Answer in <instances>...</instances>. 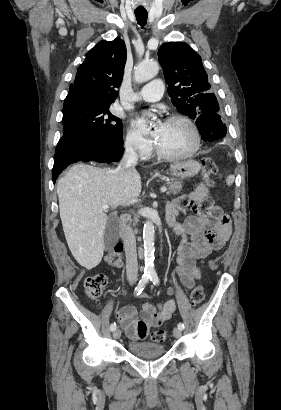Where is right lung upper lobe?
Wrapping results in <instances>:
<instances>
[{"label": "right lung upper lobe", "mask_w": 281, "mask_h": 410, "mask_svg": "<svg viewBox=\"0 0 281 410\" xmlns=\"http://www.w3.org/2000/svg\"><path fill=\"white\" fill-rule=\"evenodd\" d=\"M126 56V46L120 38L97 43L77 69L64 106L76 103L110 106L122 82Z\"/></svg>", "instance_id": "1"}]
</instances>
